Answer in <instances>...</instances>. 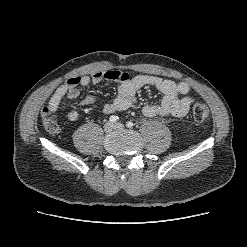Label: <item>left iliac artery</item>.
Here are the masks:
<instances>
[{
  "label": "left iliac artery",
  "instance_id": "obj_1",
  "mask_svg": "<svg viewBox=\"0 0 247 247\" xmlns=\"http://www.w3.org/2000/svg\"><path fill=\"white\" fill-rule=\"evenodd\" d=\"M126 125L127 127L132 128L134 124L132 121H128Z\"/></svg>",
  "mask_w": 247,
  "mask_h": 247
}]
</instances>
